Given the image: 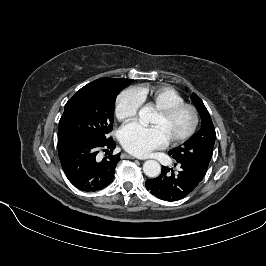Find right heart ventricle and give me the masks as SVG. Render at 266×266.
Segmentation results:
<instances>
[{"instance_id":"e07e8e85","label":"right heart ventricle","mask_w":266,"mask_h":266,"mask_svg":"<svg viewBox=\"0 0 266 266\" xmlns=\"http://www.w3.org/2000/svg\"><path fill=\"white\" fill-rule=\"evenodd\" d=\"M138 90L141 93L143 100L147 101L157 110L185 103L184 97L178 91L171 87H142Z\"/></svg>"}]
</instances>
